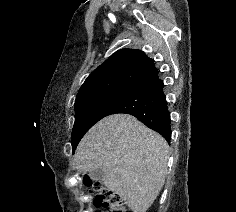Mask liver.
Returning a JSON list of instances; mask_svg holds the SVG:
<instances>
[{
  "label": "liver",
  "instance_id": "1",
  "mask_svg": "<svg viewBox=\"0 0 236 212\" xmlns=\"http://www.w3.org/2000/svg\"><path fill=\"white\" fill-rule=\"evenodd\" d=\"M169 146L135 117L115 114L96 123L74 155L75 168L105 172L104 185L133 212H146L161 191L167 173Z\"/></svg>",
  "mask_w": 236,
  "mask_h": 212
}]
</instances>
